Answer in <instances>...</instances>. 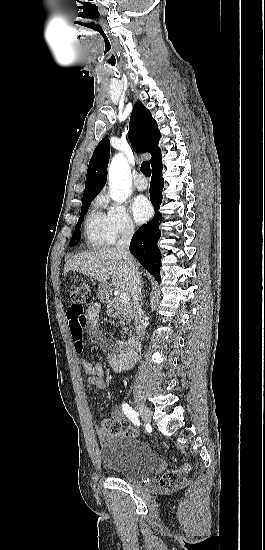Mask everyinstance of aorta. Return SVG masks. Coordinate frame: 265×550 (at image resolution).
I'll return each instance as SVG.
<instances>
[{
  "instance_id": "obj_1",
  "label": "aorta",
  "mask_w": 265,
  "mask_h": 550,
  "mask_svg": "<svg viewBox=\"0 0 265 550\" xmlns=\"http://www.w3.org/2000/svg\"><path fill=\"white\" fill-rule=\"evenodd\" d=\"M108 176L111 199L117 203L125 202L130 193L132 179L130 167L122 154L113 157Z\"/></svg>"
}]
</instances>
